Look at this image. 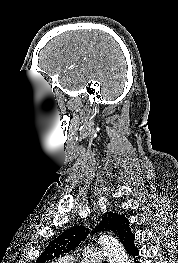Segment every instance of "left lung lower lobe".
<instances>
[{
    "instance_id": "obj_1",
    "label": "left lung lower lobe",
    "mask_w": 178,
    "mask_h": 263,
    "mask_svg": "<svg viewBox=\"0 0 178 263\" xmlns=\"http://www.w3.org/2000/svg\"><path fill=\"white\" fill-rule=\"evenodd\" d=\"M120 241L124 245L126 251L128 254L132 255L133 257L138 255V250L136 249L134 245V239L135 236L131 232L130 227H129V221L124 224L120 234H119ZM135 263H139L138 261H135Z\"/></svg>"
}]
</instances>
